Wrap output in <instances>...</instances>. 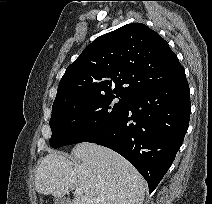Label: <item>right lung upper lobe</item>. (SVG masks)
<instances>
[{"label": "right lung upper lobe", "mask_w": 212, "mask_h": 204, "mask_svg": "<svg viewBox=\"0 0 212 204\" xmlns=\"http://www.w3.org/2000/svg\"><path fill=\"white\" fill-rule=\"evenodd\" d=\"M183 73L176 54L158 33L141 23L127 24L95 39L68 66L52 108L111 95L112 90L129 97Z\"/></svg>", "instance_id": "cb5924a9"}]
</instances>
